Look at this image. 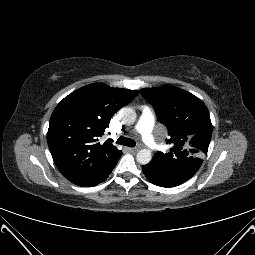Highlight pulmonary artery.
I'll use <instances>...</instances> for the list:
<instances>
[{"instance_id":"pulmonary-artery-1","label":"pulmonary artery","mask_w":255,"mask_h":255,"mask_svg":"<svg viewBox=\"0 0 255 255\" xmlns=\"http://www.w3.org/2000/svg\"><path fill=\"white\" fill-rule=\"evenodd\" d=\"M155 124V115L148 107H143L140 118L136 125V130L142 136L143 141L151 149H158L159 144L156 142L152 131Z\"/></svg>"}]
</instances>
